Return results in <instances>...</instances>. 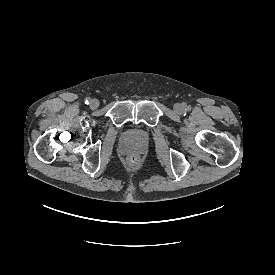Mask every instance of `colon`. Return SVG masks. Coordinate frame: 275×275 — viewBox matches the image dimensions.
Returning <instances> with one entry per match:
<instances>
[{
    "label": "colon",
    "mask_w": 275,
    "mask_h": 275,
    "mask_svg": "<svg viewBox=\"0 0 275 275\" xmlns=\"http://www.w3.org/2000/svg\"><path fill=\"white\" fill-rule=\"evenodd\" d=\"M130 160L134 164L138 161V157L137 156H132Z\"/></svg>",
    "instance_id": "5ec220e1"
}]
</instances>
